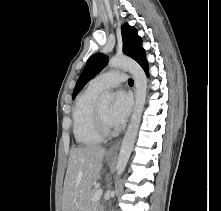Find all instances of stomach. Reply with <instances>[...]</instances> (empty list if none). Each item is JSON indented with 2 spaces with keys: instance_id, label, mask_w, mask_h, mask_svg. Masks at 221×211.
I'll return each instance as SVG.
<instances>
[{
  "instance_id": "1",
  "label": "stomach",
  "mask_w": 221,
  "mask_h": 211,
  "mask_svg": "<svg viewBox=\"0 0 221 211\" xmlns=\"http://www.w3.org/2000/svg\"><path fill=\"white\" fill-rule=\"evenodd\" d=\"M112 159H113L112 156H109V155L106 156V160H107V161H111Z\"/></svg>"
}]
</instances>
